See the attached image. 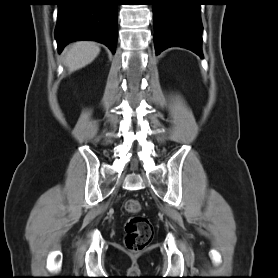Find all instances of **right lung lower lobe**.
I'll list each match as a JSON object with an SVG mask.
<instances>
[{"mask_svg": "<svg viewBox=\"0 0 278 278\" xmlns=\"http://www.w3.org/2000/svg\"><path fill=\"white\" fill-rule=\"evenodd\" d=\"M55 38L59 53L72 41L94 40L115 53L117 0H58Z\"/></svg>", "mask_w": 278, "mask_h": 278, "instance_id": "obj_1", "label": "right lung lower lobe"}]
</instances>
